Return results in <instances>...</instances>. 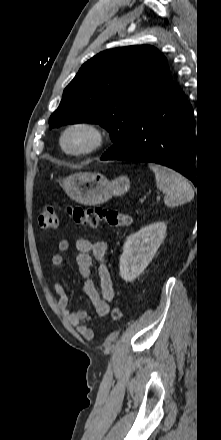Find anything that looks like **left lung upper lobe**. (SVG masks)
<instances>
[{
  "label": "left lung upper lobe",
  "mask_w": 221,
  "mask_h": 440,
  "mask_svg": "<svg viewBox=\"0 0 221 440\" xmlns=\"http://www.w3.org/2000/svg\"><path fill=\"white\" fill-rule=\"evenodd\" d=\"M171 80L166 58L152 46L103 51L85 62L65 88L49 126L100 124L114 142L103 155L119 156L141 114Z\"/></svg>",
  "instance_id": "5c2ea615"
}]
</instances>
